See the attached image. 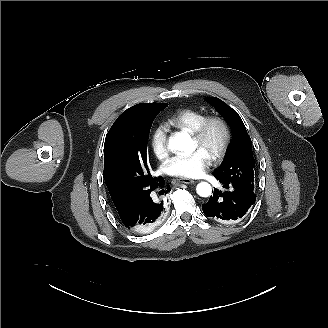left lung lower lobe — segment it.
Instances as JSON below:
<instances>
[{"label":"left lung lower lobe","instance_id":"left-lung-lower-lobe-1","mask_svg":"<svg viewBox=\"0 0 328 328\" xmlns=\"http://www.w3.org/2000/svg\"><path fill=\"white\" fill-rule=\"evenodd\" d=\"M219 181L228 191L222 193L215 189L209 201L202 205L204 214L221 223L239 220L256 200L254 189L241 183Z\"/></svg>","mask_w":328,"mask_h":328}]
</instances>
